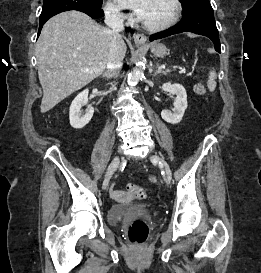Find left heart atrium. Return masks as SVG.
I'll return each instance as SVG.
<instances>
[{"instance_id": "1", "label": "left heart atrium", "mask_w": 261, "mask_h": 273, "mask_svg": "<svg viewBox=\"0 0 261 273\" xmlns=\"http://www.w3.org/2000/svg\"><path fill=\"white\" fill-rule=\"evenodd\" d=\"M124 6L133 10L139 20H143L147 12L150 0H119Z\"/></svg>"}]
</instances>
